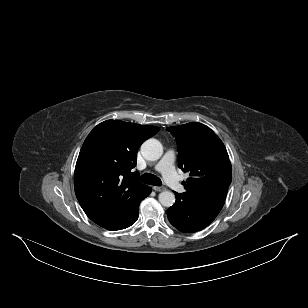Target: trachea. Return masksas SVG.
Listing matches in <instances>:
<instances>
[{
	"instance_id": "obj_1",
	"label": "trachea",
	"mask_w": 308,
	"mask_h": 308,
	"mask_svg": "<svg viewBox=\"0 0 308 308\" xmlns=\"http://www.w3.org/2000/svg\"><path fill=\"white\" fill-rule=\"evenodd\" d=\"M139 180L142 182V183H145V184H149V185H154V186H160L162 184L161 180L151 174V173H145L143 174Z\"/></svg>"
}]
</instances>
